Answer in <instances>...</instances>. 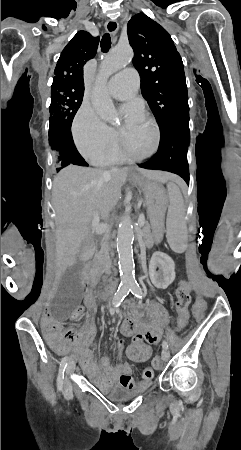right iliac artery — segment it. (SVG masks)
I'll use <instances>...</instances> for the list:
<instances>
[{
	"label": "right iliac artery",
	"instance_id": "obj_1",
	"mask_svg": "<svg viewBox=\"0 0 241 450\" xmlns=\"http://www.w3.org/2000/svg\"><path fill=\"white\" fill-rule=\"evenodd\" d=\"M130 291H131L130 286H122L121 288H119L113 298L114 307H118L124 300V298L129 294ZM66 366H67V358H64L60 363L59 374L57 377V388L59 391H61L63 387L64 371Z\"/></svg>",
	"mask_w": 241,
	"mask_h": 450
}]
</instances>
